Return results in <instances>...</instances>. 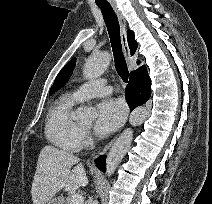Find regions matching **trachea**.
I'll return each instance as SVG.
<instances>
[{
    "instance_id": "3493384b",
    "label": "trachea",
    "mask_w": 212,
    "mask_h": 204,
    "mask_svg": "<svg viewBox=\"0 0 212 204\" xmlns=\"http://www.w3.org/2000/svg\"><path fill=\"white\" fill-rule=\"evenodd\" d=\"M102 14L108 34L111 40L112 51L114 55L115 68L124 82L128 81V68L122 52L120 27L117 15L110 5H98Z\"/></svg>"
}]
</instances>
